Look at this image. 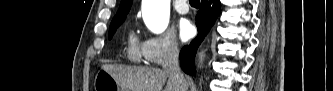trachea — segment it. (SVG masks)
Masks as SVG:
<instances>
[{
    "instance_id": "trachea-1",
    "label": "trachea",
    "mask_w": 333,
    "mask_h": 91,
    "mask_svg": "<svg viewBox=\"0 0 333 91\" xmlns=\"http://www.w3.org/2000/svg\"><path fill=\"white\" fill-rule=\"evenodd\" d=\"M190 4L199 3V0H189Z\"/></svg>"
}]
</instances>
